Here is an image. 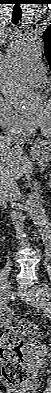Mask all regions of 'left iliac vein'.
I'll use <instances>...</instances> for the list:
<instances>
[{"label": "left iliac vein", "mask_w": 51, "mask_h": 393, "mask_svg": "<svg viewBox=\"0 0 51 393\" xmlns=\"http://www.w3.org/2000/svg\"><path fill=\"white\" fill-rule=\"evenodd\" d=\"M47 290L41 286H33L30 288H18L17 294L26 298V301L35 307L41 308L46 311L51 310L49 299L46 298Z\"/></svg>", "instance_id": "1"}]
</instances>
